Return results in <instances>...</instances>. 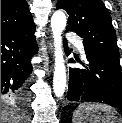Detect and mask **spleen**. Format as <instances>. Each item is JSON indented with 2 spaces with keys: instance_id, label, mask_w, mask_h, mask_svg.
Wrapping results in <instances>:
<instances>
[{
  "instance_id": "1",
  "label": "spleen",
  "mask_w": 122,
  "mask_h": 123,
  "mask_svg": "<svg viewBox=\"0 0 122 123\" xmlns=\"http://www.w3.org/2000/svg\"><path fill=\"white\" fill-rule=\"evenodd\" d=\"M118 113L106 104L83 103L73 113V123H116Z\"/></svg>"
}]
</instances>
